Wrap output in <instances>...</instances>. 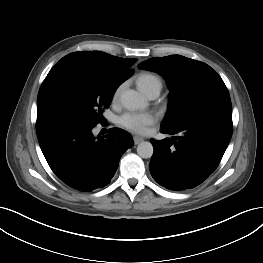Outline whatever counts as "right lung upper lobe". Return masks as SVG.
<instances>
[{
	"label": "right lung upper lobe",
	"instance_id": "cb5924a9",
	"mask_svg": "<svg viewBox=\"0 0 263 263\" xmlns=\"http://www.w3.org/2000/svg\"><path fill=\"white\" fill-rule=\"evenodd\" d=\"M60 61L84 62L100 68H105L122 73L129 78L133 74V71L130 70L129 67H131L137 61V59L120 58L100 51H91L75 52L66 55Z\"/></svg>",
	"mask_w": 263,
	"mask_h": 263
}]
</instances>
